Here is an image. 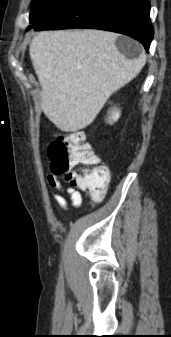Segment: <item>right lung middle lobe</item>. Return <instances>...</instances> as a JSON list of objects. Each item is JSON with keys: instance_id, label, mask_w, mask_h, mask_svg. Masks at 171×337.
<instances>
[{"instance_id": "right-lung-middle-lobe-1", "label": "right lung middle lobe", "mask_w": 171, "mask_h": 337, "mask_svg": "<svg viewBox=\"0 0 171 337\" xmlns=\"http://www.w3.org/2000/svg\"><path fill=\"white\" fill-rule=\"evenodd\" d=\"M69 0H32V12L30 14L31 25L27 30L35 28L56 14Z\"/></svg>"}]
</instances>
